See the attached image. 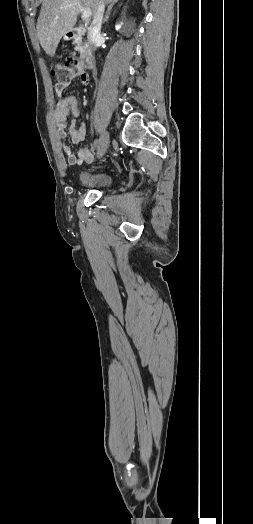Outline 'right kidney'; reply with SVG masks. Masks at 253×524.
Returning a JSON list of instances; mask_svg holds the SVG:
<instances>
[{"label": "right kidney", "instance_id": "right-kidney-1", "mask_svg": "<svg viewBox=\"0 0 253 524\" xmlns=\"http://www.w3.org/2000/svg\"><path fill=\"white\" fill-rule=\"evenodd\" d=\"M121 29V25H116V30H120Z\"/></svg>", "mask_w": 253, "mask_h": 524}]
</instances>
